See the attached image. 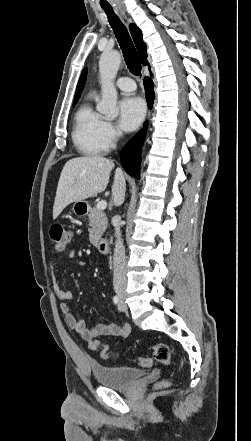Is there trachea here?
<instances>
[{"label":"trachea","mask_w":251,"mask_h":441,"mask_svg":"<svg viewBox=\"0 0 251 441\" xmlns=\"http://www.w3.org/2000/svg\"><path fill=\"white\" fill-rule=\"evenodd\" d=\"M103 10L105 11L109 23L112 29L114 30L115 36L123 52L124 60L127 64L129 71L136 76L140 75L141 63L138 59L135 46L127 31V28L120 21V19L114 13L112 8H103Z\"/></svg>","instance_id":"1"}]
</instances>
